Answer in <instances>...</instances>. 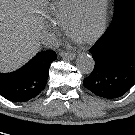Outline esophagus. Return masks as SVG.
Listing matches in <instances>:
<instances>
[{"label": "esophagus", "instance_id": "obj_1", "mask_svg": "<svg viewBox=\"0 0 135 135\" xmlns=\"http://www.w3.org/2000/svg\"><path fill=\"white\" fill-rule=\"evenodd\" d=\"M60 56L68 60H74L76 58L75 53H68V52H63V51L60 52Z\"/></svg>", "mask_w": 135, "mask_h": 135}]
</instances>
